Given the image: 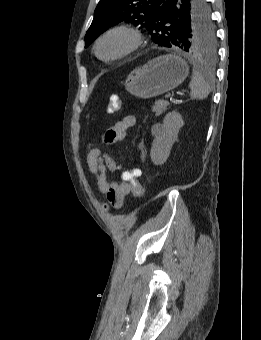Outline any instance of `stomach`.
I'll return each mask as SVG.
<instances>
[{"label": "stomach", "mask_w": 261, "mask_h": 340, "mask_svg": "<svg viewBox=\"0 0 261 340\" xmlns=\"http://www.w3.org/2000/svg\"><path fill=\"white\" fill-rule=\"evenodd\" d=\"M188 74L189 67L184 59L163 55L133 70L124 85L135 97L149 99L178 87Z\"/></svg>", "instance_id": "obj_1"}]
</instances>
